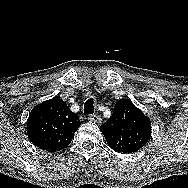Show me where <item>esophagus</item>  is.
Wrapping results in <instances>:
<instances>
[{"label": "esophagus", "mask_w": 188, "mask_h": 188, "mask_svg": "<svg viewBox=\"0 0 188 188\" xmlns=\"http://www.w3.org/2000/svg\"><path fill=\"white\" fill-rule=\"evenodd\" d=\"M89 120L96 122V123H100L101 122V117L98 114H94V115H89L88 117Z\"/></svg>", "instance_id": "34e87169"}]
</instances>
